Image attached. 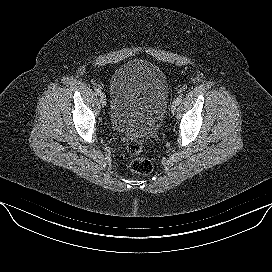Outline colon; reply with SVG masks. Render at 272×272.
<instances>
[{
    "mask_svg": "<svg viewBox=\"0 0 272 272\" xmlns=\"http://www.w3.org/2000/svg\"><path fill=\"white\" fill-rule=\"evenodd\" d=\"M127 150L132 157L130 169L139 175L149 174L153 170V164L150 159L142 155L143 144L139 140H131L128 143Z\"/></svg>",
    "mask_w": 272,
    "mask_h": 272,
    "instance_id": "obj_1",
    "label": "colon"
}]
</instances>
